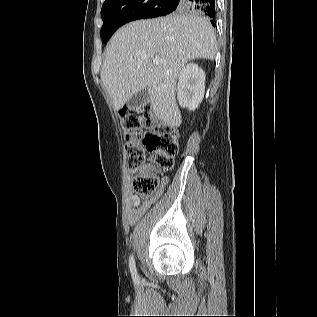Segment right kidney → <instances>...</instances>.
<instances>
[{"mask_svg": "<svg viewBox=\"0 0 317 317\" xmlns=\"http://www.w3.org/2000/svg\"><path fill=\"white\" fill-rule=\"evenodd\" d=\"M205 93V72L194 63L187 64L179 74L177 99L181 107L195 110Z\"/></svg>", "mask_w": 317, "mask_h": 317, "instance_id": "ca27d5eb", "label": "right kidney"}]
</instances>
